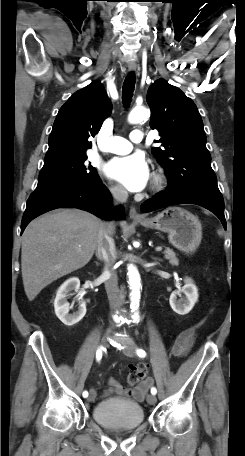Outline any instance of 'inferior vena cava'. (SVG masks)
Wrapping results in <instances>:
<instances>
[{
	"label": "inferior vena cava",
	"instance_id": "1",
	"mask_svg": "<svg viewBox=\"0 0 245 456\" xmlns=\"http://www.w3.org/2000/svg\"><path fill=\"white\" fill-rule=\"evenodd\" d=\"M114 199V205L125 203L128 198L127 190L122 186L110 189ZM96 256L105 262V269L102 275L106 278L105 289L107 292L110 308L112 311L119 310L124 302V297L120 294L118 288L117 274L113 270L116 261L115 243L112 238L110 224H103L98 234Z\"/></svg>",
	"mask_w": 245,
	"mask_h": 456
}]
</instances>
